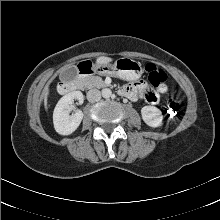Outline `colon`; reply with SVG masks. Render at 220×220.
Wrapping results in <instances>:
<instances>
[{"mask_svg": "<svg viewBox=\"0 0 220 220\" xmlns=\"http://www.w3.org/2000/svg\"><path fill=\"white\" fill-rule=\"evenodd\" d=\"M145 70L150 82L153 85L155 84L162 85L166 81L167 76L165 71L157 67L156 65L149 63L146 65ZM179 112H180V104L178 103V101L175 100L174 98H169L166 101V108H165V114L167 118L171 122H174L178 118Z\"/></svg>", "mask_w": 220, "mask_h": 220, "instance_id": "obj_1", "label": "colon"}]
</instances>
